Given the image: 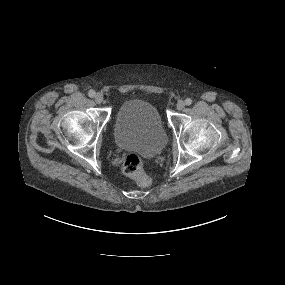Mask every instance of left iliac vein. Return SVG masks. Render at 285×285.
I'll return each instance as SVG.
<instances>
[{"mask_svg":"<svg viewBox=\"0 0 285 285\" xmlns=\"http://www.w3.org/2000/svg\"><path fill=\"white\" fill-rule=\"evenodd\" d=\"M184 107H185L184 101L180 100V101L177 102V104H176V109L177 110H182Z\"/></svg>","mask_w":285,"mask_h":285,"instance_id":"left-iliac-vein-1","label":"left iliac vein"}]
</instances>
